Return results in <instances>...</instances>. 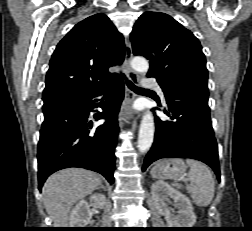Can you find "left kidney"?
I'll list each match as a JSON object with an SVG mask.
<instances>
[{"label": "left kidney", "instance_id": "left-kidney-1", "mask_svg": "<svg viewBox=\"0 0 252 231\" xmlns=\"http://www.w3.org/2000/svg\"><path fill=\"white\" fill-rule=\"evenodd\" d=\"M151 194L158 212L165 216L169 228H192L196 223L193 206L185 195L171 188L164 182H155L151 187ZM169 198L174 200L178 214H172L167 206Z\"/></svg>", "mask_w": 252, "mask_h": 231}]
</instances>
